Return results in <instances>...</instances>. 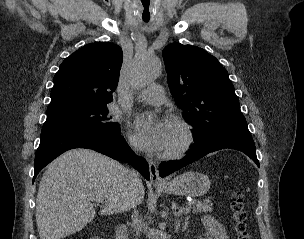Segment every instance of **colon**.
Listing matches in <instances>:
<instances>
[{"label": "colon", "mask_w": 304, "mask_h": 239, "mask_svg": "<svg viewBox=\"0 0 304 239\" xmlns=\"http://www.w3.org/2000/svg\"><path fill=\"white\" fill-rule=\"evenodd\" d=\"M231 210L235 220L237 239H251L246 225V212L244 195L241 191H235L231 197Z\"/></svg>", "instance_id": "obj_1"}]
</instances>
